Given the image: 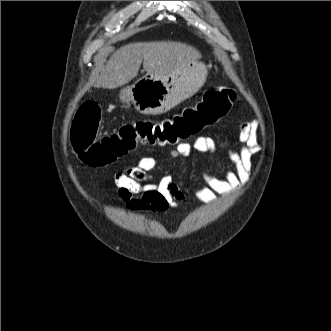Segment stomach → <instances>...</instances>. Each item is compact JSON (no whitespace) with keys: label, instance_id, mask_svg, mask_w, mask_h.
I'll list each match as a JSON object with an SVG mask.
<instances>
[{"label":"stomach","instance_id":"obj_1","mask_svg":"<svg viewBox=\"0 0 331 331\" xmlns=\"http://www.w3.org/2000/svg\"><path fill=\"white\" fill-rule=\"evenodd\" d=\"M207 73L204 63L193 60L180 72L165 78L147 74L121 89L119 97L141 114H163L194 95L203 86Z\"/></svg>","mask_w":331,"mask_h":331}]
</instances>
